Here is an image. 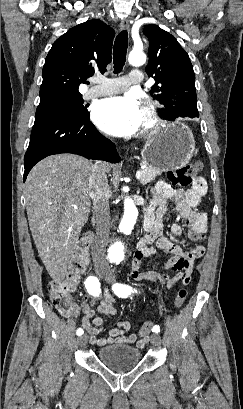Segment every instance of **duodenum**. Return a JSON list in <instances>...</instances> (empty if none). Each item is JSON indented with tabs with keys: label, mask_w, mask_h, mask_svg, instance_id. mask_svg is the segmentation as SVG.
<instances>
[{
	"label": "duodenum",
	"mask_w": 243,
	"mask_h": 409,
	"mask_svg": "<svg viewBox=\"0 0 243 409\" xmlns=\"http://www.w3.org/2000/svg\"><path fill=\"white\" fill-rule=\"evenodd\" d=\"M144 229L146 232H151L155 226V219L151 212H146L144 217Z\"/></svg>",
	"instance_id": "obj_1"
}]
</instances>
